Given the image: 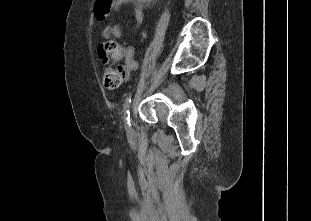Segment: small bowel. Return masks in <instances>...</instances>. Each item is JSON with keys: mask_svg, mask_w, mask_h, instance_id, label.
I'll list each match as a JSON object with an SVG mask.
<instances>
[{"mask_svg": "<svg viewBox=\"0 0 311 221\" xmlns=\"http://www.w3.org/2000/svg\"><path fill=\"white\" fill-rule=\"evenodd\" d=\"M142 0H114V8L118 9L122 5H131L133 8L134 16L137 21L136 28H138L144 19V12L142 9ZM112 36L121 39L122 38V25L121 24H114L108 29H106L102 33V37L104 39V43L108 41ZM102 43L98 50H103ZM102 64L106 65L109 62L108 57H100ZM124 67L126 74H128L137 68V62L135 60L134 49L131 46H127L124 49Z\"/></svg>", "mask_w": 311, "mask_h": 221, "instance_id": "small-bowel-1", "label": "small bowel"}]
</instances>
